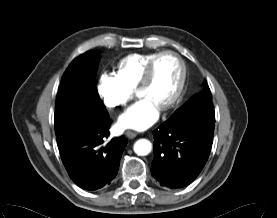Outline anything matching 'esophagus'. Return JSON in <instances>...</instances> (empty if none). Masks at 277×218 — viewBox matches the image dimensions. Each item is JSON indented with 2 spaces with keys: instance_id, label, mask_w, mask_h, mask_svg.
I'll return each mask as SVG.
<instances>
[{
  "instance_id": "obj_1",
  "label": "esophagus",
  "mask_w": 277,
  "mask_h": 218,
  "mask_svg": "<svg viewBox=\"0 0 277 218\" xmlns=\"http://www.w3.org/2000/svg\"><path fill=\"white\" fill-rule=\"evenodd\" d=\"M125 135H126V137L129 138V139H133V138H135V137L137 136V134H136L135 132L130 131V130L126 131V132H125Z\"/></svg>"
}]
</instances>
